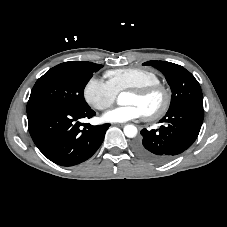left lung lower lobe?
<instances>
[{
    "label": "left lung lower lobe",
    "mask_w": 227,
    "mask_h": 227,
    "mask_svg": "<svg viewBox=\"0 0 227 227\" xmlns=\"http://www.w3.org/2000/svg\"><path fill=\"white\" fill-rule=\"evenodd\" d=\"M204 117L200 106H185L169 111L160 120L159 129H142L134 150L153 163H164L188 149L196 140Z\"/></svg>",
    "instance_id": "obj_1"
}]
</instances>
